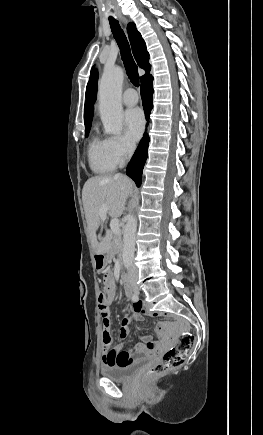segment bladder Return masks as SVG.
I'll list each match as a JSON object with an SVG mask.
<instances>
[{"label":"bladder","instance_id":"1","mask_svg":"<svg viewBox=\"0 0 263 435\" xmlns=\"http://www.w3.org/2000/svg\"><path fill=\"white\" fill-rule=\"evenodd\" d=\"M144 360H138L131 364L105 366L101 368V374L116 382L128 381L143 365Z\"/></svg>","mask_w":263,"mask_h":435}]
</instances>
